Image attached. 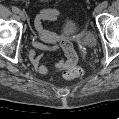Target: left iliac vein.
I'll return each instance as SVG.
<instances>
[{
	"label": "left iliac vein",
	"mask_w": 119,
	"mask_h": 119,
	"mask_svg": "<svg viewBox=\"0 0 119 119\" xmlns=\"http://www.w3.org/2000/svg\"><path fill=\"white\" fill-rule=\"evenodd\" d=\"M103 11V6L102 5H98L96 8H95V12L97 14L101 13Z\"/></svg>",
	"instance_id": "obj_1"
}]
</instances>
